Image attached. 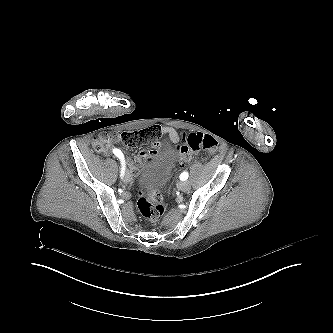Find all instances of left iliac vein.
<instances>
[{"instance_id": "1", "label": "left iliac vein", "mask_w": 333, "mask_h": 333, "mask_svg": "<svg viewBox=\"0 0 333 333\" xmlns=\"http://www.w3.org/2000/svg\"><path fill=\"white\" fill-rule=\"evenodd\" d=\"M178 187L181 191L187 192L190 189V183L188 181H181L179 182Z\"/></svg>"}]
</instances>
